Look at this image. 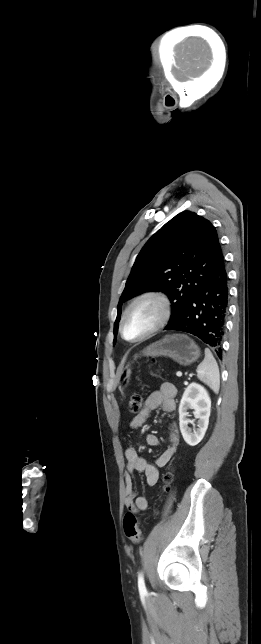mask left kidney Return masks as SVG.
<instances>
[{"label": "left kidney", "instance_id": "obj_1", "mask_svg": "<svg viewBox=\"0 0 261 644\" xmlns=\"http://www.w3.org/2000/svg\"><path fill=\"white\" fill-rule=\"evenodd\" d=\"M188 409H194L195 418L198 419L197 429L193 432L188 424ZM211 399L206 389L197 383H191L185 389L179 405V426L185 442L190 446L197 445L204 437L209 424Z\"/></svg>", "mask_w": 261, "mask_h": 644}]
</instances>
